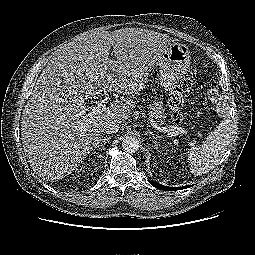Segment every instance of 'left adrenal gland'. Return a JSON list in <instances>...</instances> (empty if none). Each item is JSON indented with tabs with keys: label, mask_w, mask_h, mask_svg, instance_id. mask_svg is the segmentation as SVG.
I'll return each mask as SVG.
<instances>
[{
	"label": "left adrenal gland",
	"mask_w": 255,
	"mask_h": 255,
	"mask_svg": "<svg viewBox=\"0 0 255 255\" xmlns=\"http://www.w3.org/2000/svg\"><path fill=\"white\" fill-rule=\"evenodd\" d=\"M148 133L152 136L153 138V142L156 143V141L159 139V138H162V136H155L153 132H151L150 130H148Z\"/></svg>",
	"instance_id": "left-adrenal-gland-1"
}]
</instances>
